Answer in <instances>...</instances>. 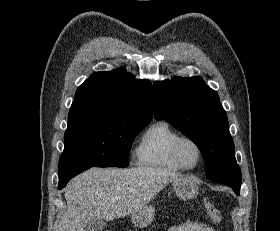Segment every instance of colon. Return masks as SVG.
I'll return each mask as SVG.
<instances>
[{
    "label": "colon",
    "instance_id": "5ec220e1",
    "mask_svg": "<svg viewBox=\"0 0 280 231\" xmlns=\"http://www.w3.org/2000/svg\"><path fill=\"white\" fill-rule=\"evenodd\" d=\"M205 208L210 218L214 222H219L221 220V215L218 208L211 201H205Z\"/></svg>",
    "mask_w": 280,
    "mask_h": 231
}]
</instances>
